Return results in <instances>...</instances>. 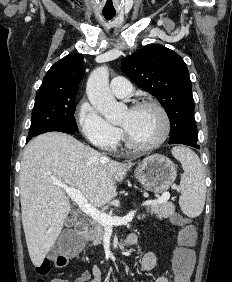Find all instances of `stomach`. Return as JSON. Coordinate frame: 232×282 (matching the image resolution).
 Returning a JSON list of instances; mask_svg holds the SVG:
<instances>
[{"label": "stomach", "instance_id": "obj_1", "mask_svg": "<svg viewBox=\"0 0 232 282\" xmlns=\"http://www.w3.org/2000/svg\"><path fill=\"white\" fill-rule=\"evenodd\" d=\"M135 177L143 187L153 193H163L174 183L176 165L166 156L153 154L145 157L136 167Z\"/></svg>", "mask_w": 232, "mask_h": 282}]
</instances>
